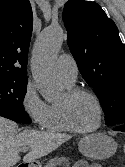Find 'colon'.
<instances>
[{
  "instance_id": "5ec220e1",
  "label": "colon",
  "mask_w": 125,
  "mask_h": 167,
  "mask_svg": "<svg viewBox=\"0 0 125 167\" xmlns=\"http://www.w3.org/2000/svg\"><path fill=\"white\" fill-rule=\"evenodd\" d=\"M123 150H124V153H125V145H124V147H123ZM125 167V166H124Z\"/></svg>"
}]
</instances>
